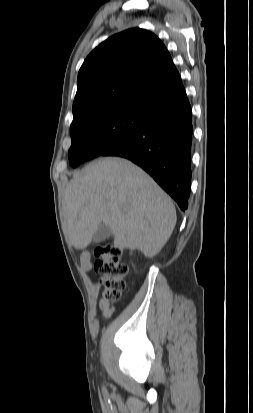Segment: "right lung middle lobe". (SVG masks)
I'll return each instance as SVG.
<instances>
[{
    "instance_id": "right-lung-middle-lobe-1",
    "label": "right lung middle lobe",
    "mask_w": 253,
    "mask_h": 413,
    "mask_svg": "<svg viewBox=\"0 0 253 413\" xmlns=\"http://www.w3.org/2000/svg\"><path fill=\"white\" fill-rule=\"evenodd\" d=\"M149 112L131 107H111L87 113L70 126L72 145L69 163L73 167L102 155L138 131Z\"/></svg>"
}]
</instances>
